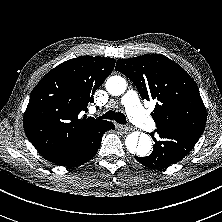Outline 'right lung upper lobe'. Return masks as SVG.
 Returning <instances> with one entry per match:
<instances>
[{
	"label": "right lung upper lobe",
	"instance_id": "cb5924a9",
	"mask_svg": "<svg viewBox=\"0 0 222 222\" xmlns=\"http://www.w3.org/2000/svg\"><path fill=\"white\" fill-rule=\"evenodd\" d=\"M115 59L79 56L49 71L31 93L23 117L29 141L42 155L59 152L84 141L105 120L79 117L93 102L94 92L114 69Z\"/></svg>",
	"mask_w": 222,
	"mask_h": 222
}]
</instances>
